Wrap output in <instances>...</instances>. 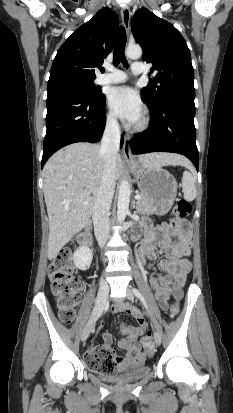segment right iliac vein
Segmentation results:
<instances>
[{"label": "right iliac vein", "mask_w": 233, "mask_h": 413, "mask_svg": "<svg viewBox=\"0 0 233 413\" xmlns=\"http://www.w3.org/2000/svg\"><path fill=\"white\" fill-rule=\"evenodd\" d=\"M108 293H109V286L106 281H102L100 284L98 296L96 299V303H95V307L93 309L92 315L82 332V335H81L82 341H85L88 338L92 328L94 327L96 320L101 315L103 308L105 306V303L107 301Z\"/></svg>", "instance_id": "63e3f726"}]
</instances>
